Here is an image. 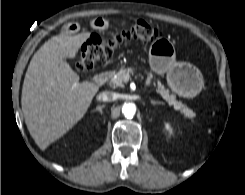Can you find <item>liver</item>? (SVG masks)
Listing matches in <instances>:
<instances>
[{"label": "liver", "instance_id": "1", "mask_svg": "<svg viewBox=\"0 0 245 195\" xmlns=\"http://www.w3.org/2000/svg\"><path fill=\"white\" fill-rule=\"evenodd\" d=\"M90 33L57 35L32 57L22 87L21 106L28 131L41 150L62 137L87 112L99 87L79 82L65 61L75 58Z\"/></svg>", "mask_w": 245, "mask_h": 195}]
</instances>
